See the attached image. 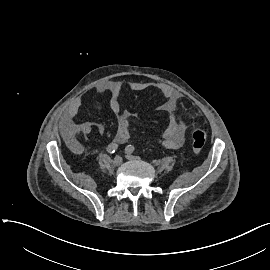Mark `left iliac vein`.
<instances>
[{
    "mask_svg": "<svg viewBox=\"0 0 270 270\" xmlns=\"http://www.w3.org/2000/svg\"><path fill=\"white\" fill-rule=\"evenodd\" d=\"M126 158L128 159V160H136L137 159V157L136 156H133L131 153H126Z\"/></svg>",
    "mask_w": 270,
    "mask_h": 270,
    "instance_id": "left-iliac-vein-1",
    "label": "left iliac vein"
}]
</instances>
